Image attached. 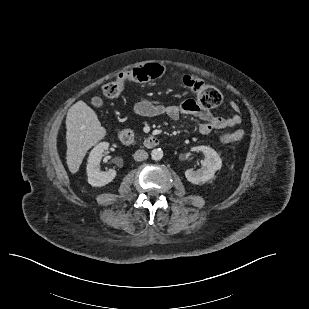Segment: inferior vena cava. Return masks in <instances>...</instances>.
Listing matches in <instances>:
<instances>
[{
  "label": "inferior vena cava",
  "instance_id": "inferior-vena-cava-1",
  "mask_svg": "<svg viewBox=\"0 0 309 309\" xmlns=\"http://www.w3.org/2000/svg\"><path fill=\"white\" fill-rule=\"evenodd\" d=\"M148 158V153L145 150H137L134 153V160L135 161H143Z\"/></svg>",
  "mask_w": 309,
  "mask_h": 309
}]
</instances>
